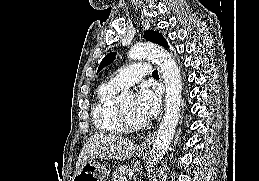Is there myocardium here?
I'll return each instance as SVG.
<instances>
[{
	"instance_id": "1",
	"label": "myocardium",
	"mask_w": 259,
	"mask_h": 181,
	"mask_svg": "<svg viewBox=\"0 0 259 181\" xmlns=\"http://www.w3.org/2000/svg\"><path fill=\"white\" fill-rule=\"evenodd\" d=\"M118 111L121 118V122L126 130L139 131L145 127L144 123L134 121L121 108H118Z\"/></svg>"
}]
</instances>
